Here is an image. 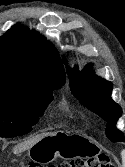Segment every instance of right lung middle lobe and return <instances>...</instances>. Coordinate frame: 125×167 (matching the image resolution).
<instances>
[{"label": "right lung middle lobe", "mask_w": 125, "mask_h": 167, "mask_svg": "<svg viewBox=\"0 0 125 167\" xmlns=\"http://www.w3.org/2000/svg\"><path fill=\"white\" fill-rule=\"evenodd\" d=\"M53 87L32 96L0 93V137H15L29 133L53 100Z\"/></svg>", "instance_id": "dd1d6c3e"}]
</instances>
